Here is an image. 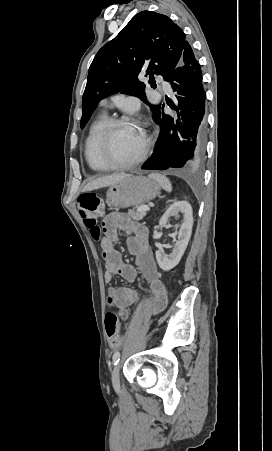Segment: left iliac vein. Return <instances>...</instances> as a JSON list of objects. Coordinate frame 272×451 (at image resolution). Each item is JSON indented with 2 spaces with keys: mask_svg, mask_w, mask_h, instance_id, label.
<instances>
[{
  "mask_svg": "<svg viewBox=\"0 0 272 451\" xmlns=\"http://www.w3.org/2000/svg\"><path fill=\"white\" fill-rule=\"evenodd\" d=\"M120 366L116 365L112 371V376H111V380H112V384L114 386V388H119L120 387Z\"/></svg>",
  "mask_w": 272,
  "mask_h": 451,
  "instance_id": "obj_1",
  "label": "left iliac vein"
}]
</instances>
